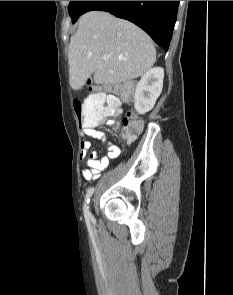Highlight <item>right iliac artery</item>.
Segmentation results:
<instances>
[{"instance_id": "82829eb1", "label": "right iliac artery", "mask_w": 233, "mask_h": 295, "mask_svg": "<svg viewBox=\"0 0 233 295\" xmlns=\"http://www.w3.org/2000/svg\"><path fill=\"white\" fill-rule=\"evenodd\" d=\"M93 192H94V187H91L88 189L86 196H85L83 210H84V215H85L86 220H89L91 218V213L89 211L88 203H89L90 197L92 196Z\"/></svg>"}]
</instances>
